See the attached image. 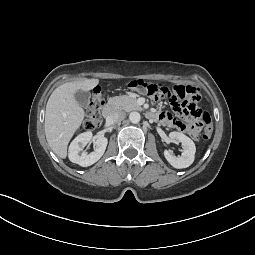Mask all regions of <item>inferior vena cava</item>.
Segmentation results:
<instances>
[{"label":"inferior vena cava","mask_w":255,"mask_h":255,"mask_svg":"<svg viewBox=\"0 0 255 255\" xmlns=\"http://www.w3.org/2000/svg\"><path fill=\"white\" fill-rule=\"evenodd\" d=\"M126 117V113L123 111H114L109 116H107V122L110 124L122 121Z\"/></svg>","instance_id":"inferior-vena-cava-1"}]
</instances>
